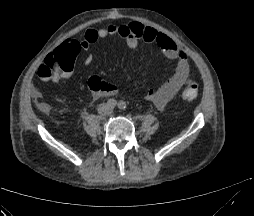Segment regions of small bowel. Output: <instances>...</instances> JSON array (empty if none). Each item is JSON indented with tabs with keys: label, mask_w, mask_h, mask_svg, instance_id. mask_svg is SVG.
<instances>
[{
	"label": "small bowel",
	"mask_w": 254,
	"mask_h": 216,
	"mask_svg": "<svg viewBox=\"0 0 254 216\" xmlns=\"http://www.w3.org/2000/svg\"><path fill=\"white\" fill-rule=\"evenodd\" d=\"M109 36H118L124 39L130 49H135L140 41L156 44L167 58L176 61L177 66L172 77L159 88L150 90L146 94L147 99L150 100L156 108L159 110L165 109L188 80L190 65L187 53L164 33L144 26L139 22H130L124 25H109L99 29L89 28L84 34L83 41L79 42L76 39L69 38L51 54H55L59 50L73 51L77 43L80 44L81 49H86L90 44ZM91 59V56H88L85 63L89 64ZM71 76L72 72L68 70L65 71L62 77L53 78V81L58 83L61 78H70ZM89 87L95 99L113 95L118 92V87L115 84L105 82L97 76H92L89 79Z\"/></svg>",
	"instance_id": "obj_1"
}]
</instances>
